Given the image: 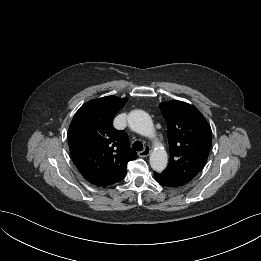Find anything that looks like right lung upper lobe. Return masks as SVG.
Segmentation results:
<instances>
[{
	"label": "right lung upper lobe",
	"mask_w": 261,
	"mask_h": 261,
	"mask_svg": "<svg viewBox=\"0 0 261 261\" xmlns=\"http://www.w3.org/2000/svg\"><path fill=\"white\" fill-rule=\"evenodd\" d=\"M127 98L106 96L90 100L74 115L68 130L73 162L82 176L96 186L122 180L126 166L137 153L129 147L124 131L116 130L112 121Z\"/></svg>",
	"instance_id": "1"
}]
</instances>
